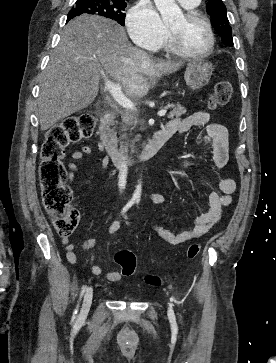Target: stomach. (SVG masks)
<instances>
[{"mask_svg":"<svg viewBox=\"0 0 276 363\" xmlns=\"http://www.w3.org/2000/svg\"><path fill=\"white\" fill-rule=\"evenodd\" d=\"M212 64L206 62H191L184 73L186 84L192 90H198L207 85L212 76Z\"/></svg>","mask_w":276,"mask_h":363,"instance_id":"obj_1","label":"stomach"}]
</instances>
